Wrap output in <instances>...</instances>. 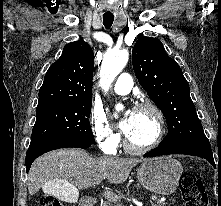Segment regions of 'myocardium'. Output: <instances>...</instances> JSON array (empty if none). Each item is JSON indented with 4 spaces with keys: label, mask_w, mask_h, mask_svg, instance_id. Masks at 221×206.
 Here are the masks:
<instances>
[{
    "label": "myocardium",
    "mask_w": 221,
    "mask_h": 206,
    "mask_svg": "<svg viewBox=\"0 0 221 206\" xmlns=\"http://www.w3.org/2000/svg\"><path fill=\"white\" fill-rule=\"evenodd\" d=\"M138 110H149L151 111L156 119V133L153 139L147 143L146 145L143 146H134L130 143L128 140L127 136H125L124 141H123V146L124 148L133 154L141 155L144 153H147L154 149L162 140L164 132H165V119L162 111L160 108L153 102L151 101H142L138 103L134 107V111Z\"/></svg>",
    "instance_id": "f54148a6"
}]
</instances>
